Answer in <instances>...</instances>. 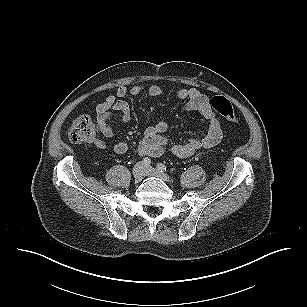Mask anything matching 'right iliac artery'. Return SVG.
Listing matches in <instances>:
<instances>
[{
  "mask_svg": "<svg viewBox=\"0 0 307 307\" xmlns=\"http://www.w3.org/2000/svg\"><path fill=\"white\" fill-rule=\"evenodd\" d=\"M142 163H143V165L144 166H150V164H151V159H149L148 157H146V158H144L143 160H142Z\"/></svg>",
  "mask_w": 307,
  "mask_h": 307,
  "instance_id": "right-iliac-artery-1",
  "label": "right iliac artery"
}]
</instances>
